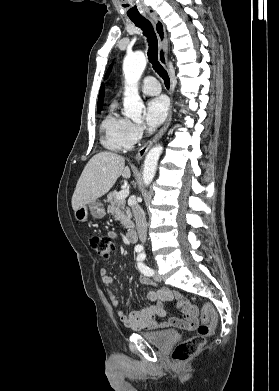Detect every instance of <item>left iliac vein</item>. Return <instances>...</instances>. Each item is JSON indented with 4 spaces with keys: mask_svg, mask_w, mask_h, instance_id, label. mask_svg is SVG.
Here are the masks:
<instances>
[{
    "mask_svg": "<svg viewBox=\"0 0 279 391\" xmlns=\"http://www.w3.org/2000/svg\"><path fill=\"white\" fill-rule=\"evenodd\" d=\"M153 278L155 281L161 282V276L159 275V273L157 271H155Z\"/></svg>",
    "mask_w": 279,
    "mask_h": 391,
    "instance_id": "obj_1",
    "label": "left iliac vein"
}]
</instances>
